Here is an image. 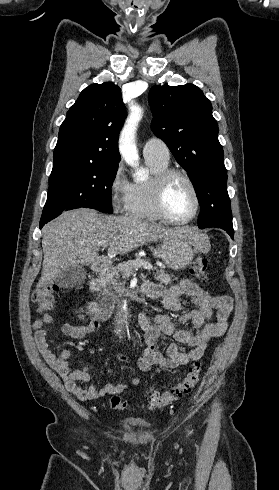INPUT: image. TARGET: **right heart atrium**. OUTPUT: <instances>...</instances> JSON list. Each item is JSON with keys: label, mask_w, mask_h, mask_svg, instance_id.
Returning a JSON list of instances; mask_svg holds the SVG:
<instances>
[{"label": "right heart atrium", "mask_w": 279, "mask_h": 490, "mask_svg": "<svg viewBox=\"0 0 279 490\" xmlns=\"http://www.w3.org/2000/svg\"><path fill=\"white\" fill-rule=\"evenodd\" d=\"M134 184L127 177L124 166L119 163L115 167L109 183V200L116 214L128 212L133 196Z\"/></svg>", "instance_id": "obj_1"}]
</instances>
